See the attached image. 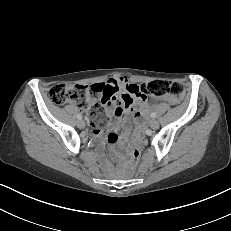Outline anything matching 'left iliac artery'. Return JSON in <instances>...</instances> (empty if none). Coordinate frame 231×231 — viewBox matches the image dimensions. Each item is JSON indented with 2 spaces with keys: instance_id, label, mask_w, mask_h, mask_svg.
<instances>
[{
  "instance_id": "44dca946",
  "label": "left iliac artery",
  "mask_w": 231,
  "mask_h": 231,
  "mask_svg": "<svg viewBox=\"0 0 231 231\" xmlns=\"http://www.w3.org/2000/svg\"><path fill=\"white\" fill-rule=\"evenodd\" d=\"M151 117H152V118H155V117H156V113H155V112H152V113H151Z\"/></svg>"
}]
</instances>
